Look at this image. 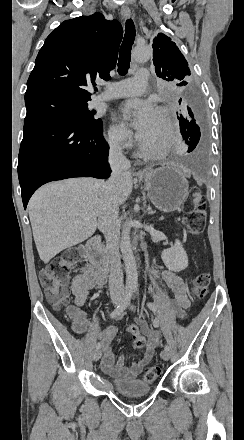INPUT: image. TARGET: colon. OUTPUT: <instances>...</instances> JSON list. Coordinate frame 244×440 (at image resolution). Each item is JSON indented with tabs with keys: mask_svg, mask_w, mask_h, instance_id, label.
<instances>
[{
	"mask_svg": "<svg viewBox=\"0 0 244 440\" xmlns=\"http://www.w3.org/2000/svg\"><path fill=\"white\" fill-rule=\"evenodd\" d=\"M205 201L202 194L196 191L190 198L189 204L185 207L184 221L188 230L193 235L201 234L206 225L207 214L205 210ZM64 258L62 260H54L50 262L45 270L40 274V283L46 294L47 299L57 309L69 301L70 291L68 288L69 276L76 267L83 255L82 248H64ZM194 296L197 300H202L207 294V288L210 284V276L206 273H198L194 279ZM65 312L74 322V328L83 325L85 313L81 305H66ZM138 326L131 324L129 326V334H134V329ZM135 350L140 351L146 347V339L144 337H136L132 341ZM160 374V368L157 365L147 367L142 379L147 383L154 382Z\"/></svg>",
	"mask_w": 244,
	"mask_h": 440,
	"instance_id": "5ec220e1",
	"label": "colon"
}]
</instances>
